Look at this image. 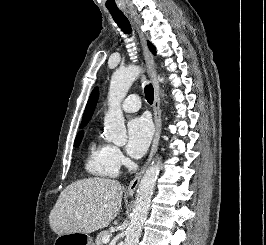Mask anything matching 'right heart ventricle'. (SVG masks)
Masks as SVG:
<instances>
[{"instance_id": "1", "label": "right heart ventricle", "mask_w": 266, "mask_h": 245, "mask_svg": "<svg viewBox=\"0 0 266 245\" xmlns=\"http://www.w3.org/2000/svg\"><path fill=\"white\" fill-rule=\"evenodd\" d=\"M85 169L87 173L99 179H113L119 175V166L115 162L111 145L92 137L86 149Z\"/></svg>"}]
</instances>
